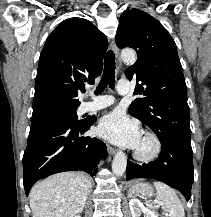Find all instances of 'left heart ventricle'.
I'll return each mask as SVG.
<instances>
[{"mask_svg":"<svg viewBox=\"0 0 211 217\" xmlns=\"http://www.w3.org/2000/svg\"><path fill=\"white\" fill-rule=\"evenodd\" d=\"M150 148H151V143L147 139H144V138L141 139L140 144L137 147V149L142 151V152H146Z\"/></svg>","mask_w":211,"mask_h":217,"instance_id":"b2bd125f","label":"left heart ventricle"}]
</instances>
